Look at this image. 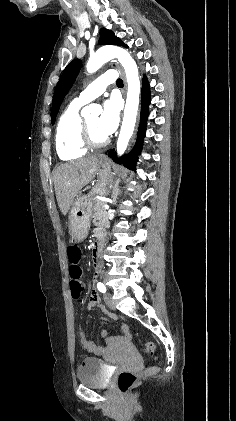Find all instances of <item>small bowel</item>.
I'll list each match as a JSON object with an SVG mask.
<instances>
[{"label": "small bowel", "instance_id": "1", "mask_svg": "<svg viewBox=\"0 0 236 421\" xmlns=\"http://www.w3.org/2000/svg\"><path fill=\"white\" fill-rule=\"evenodd\" d=\"M99 301V296L97 295V293L95 291H93L91 293L90 296V305L93 306L95 305L97 302ZM124 328H126V326H124Z\"/></svg>", "mask_w": 236, "mask_h": 421}]
</instances>
